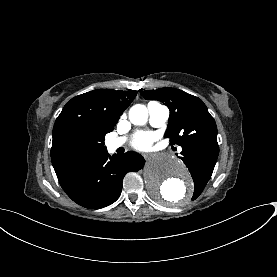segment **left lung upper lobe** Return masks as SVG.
Segmentation results:
<instances>
[{
	"instance_id": "left-lung-upper-lobe-1",
	"label": "left lung upper lobe",
	"mask_w": 277,
	"mask_h": 277,
	"mask_svg": "<svg viewBox=\"0 0 277 277\" xmlns=\"http://www.w3.org/2000/svg\"><path fill=\"white\" fill-rule=\"evenodd\" d=\"M140 93L145 99L161 101L169 108L165 137L170 138V144L184 147L206 140L217 141L215 120L198 97L175 88H160ZM210 177L211 174H201L193 178V199L201 194Z\"/></svg>"
}]
</instances>
